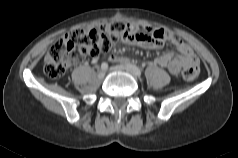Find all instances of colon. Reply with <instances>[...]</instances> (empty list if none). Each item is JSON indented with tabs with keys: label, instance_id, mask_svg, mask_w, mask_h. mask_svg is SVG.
I'll return each mask as SVG.
<instances>
[{
	"label": "colon",
	"instance_id": "1",
	"mask_svg": "<svg viewBox=\"0 0 238 158\" xmlns=\"http://www.w3.org/2000/svg\"><path fill=\"white\" fill-rule=\"evenodd\" d=\"M133 33L132 25L121 21L99 28L73 29L52 45L44 60V72L50 78H60L71 64L108 51L117 41L131 39ZM198 74L199 66L182 71L187 81L195 80Z\"/></svg>",
	"mask_w": 238,
	"mask_h": 158
}]
</instances>
